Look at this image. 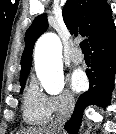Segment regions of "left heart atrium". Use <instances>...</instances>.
Segmentation results:
<instances>
[{"instance_id":"1","label":"left heart atrium","mask_w":116,"mask_h":134,"mask_svg":"<svg viewBox=\"0 0 116 134\" xmlns=\"http://www.w3.org/2000/svg\"><path fill=\"white\" fill-rule=\"evenodd\" d=\"M87 80L84 73L81 70H76L70 76V86L75 92H80L86 86Z\"/></svg>"}]
</instances>
